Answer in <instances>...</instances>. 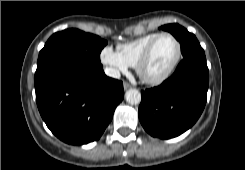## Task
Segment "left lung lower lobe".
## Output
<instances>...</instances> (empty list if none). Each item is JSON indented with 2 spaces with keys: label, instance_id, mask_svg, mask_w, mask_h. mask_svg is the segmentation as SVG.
I'll return each instance as SVG.
<instances>
[{
  "label": "left lung lower lobe",
  "instance_id": "left-lung-lower-lobe-1",
  "mask_svg": "<svg viewBox=\"0 0 245 170\" xmlns=\"http://www.w3.org/2000/svg\"><path fill=\"white\" fill-rule=\"evenodd\" d=\"M206 60L184 58L160 86L142 91L139 120L153 137L169 139L191 128L207 100Z\"/></svg>",
  "mask_w": 245,
  "mask_h": 170
}]
</instances>
